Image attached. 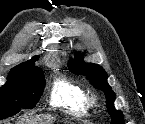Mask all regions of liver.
<instances>
[{"label":"liver","mask_w":145,"mask_h":124,"mask_svg":"<svg viewBox=\"0 0 145 124\" xmlns=\"http://www.w3.org/2000/svg\"><path fill=\"white\" fill-rule=\"evenodd\" d=\"M54 118L49 115H41L36 117H27L24 116L20 118L17 124H52Z\"/></svg>","instance_id":"1"}]
</instances>
